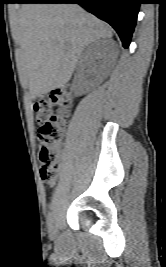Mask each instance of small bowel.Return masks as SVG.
Returning <instances> with one entry per match:
<instances>
[{"instance_id": "c3829d8e", "label": "small bowel", "mask_w": 166, "mask_h": 267, "mask_svg": "<svg viewBox=\"0 0 166 267\" xmlns=\"http://www.w3.org/2000/svg\"><path fill=\"white\" fill-rule=\"evenodd\" d=\"M49 184H50V185L53 184V181L49 182Z\"/></svg>"}]
</instances>
